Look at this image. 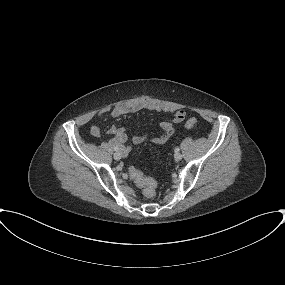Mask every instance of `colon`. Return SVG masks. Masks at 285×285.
I'll list each match as a JSON object with an SVG mask.
<instances>
[{"label": "colon", "instance_id": "5ec220e1", "mask_svg": "<svg viewBox=\"0 0 285 285\" xmlns=\"http://www.w3.org/2000/svg\"><path fill=\"white\" fill-rule=\"evenodd\" d=\"M183 113L178 114V118H182ZM185 126L189 129H193L197 126V120L195 118H190L186 121ZM130 176L132 180L143 189V193L146 197H153L155 195L156 183L155 181L144 175L140 170L135 167H130Z\"/></svg>", "mask_w": 285, "mask_h": 285}]
</instances>
